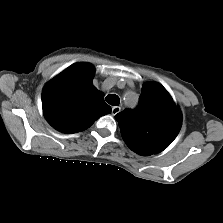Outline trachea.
<instances>
[{"mask_svg":"<svg viewBox=\"0 0 223 223\" xmlns=\"http://www.w3.org/2000/svg\"><path fill=\"white\" fill-rule=\"evenodd\" d=\"M108 104L112 106H118L120 103V98L115 94H109L106 96V99Z\"/></svg>","mask_w":223,"mask_h":223,"instance_id":"trachea-1","label":"trachea"}]
</instances>
